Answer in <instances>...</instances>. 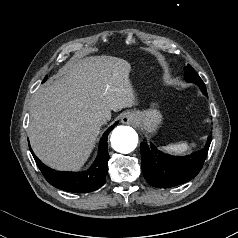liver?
<instances>
[{
    "label": "liver",
    "instance_id": "1",
    "mask_svg": "<svg viewBox=\"0 0 238 238\" xmlns=\"http://www.w3.org/2000/svg\"><path fill=\"white\" fill-rule=\"evenodd\" d=\"M131 65L112 56H91L68 64L40 87L30 106L28 137L36 156L56 170H79L100 131L99 118L137 105Z\"/></svg>",
    "mask_w": 238,
    "mask_h": 238
}]
</instances>
